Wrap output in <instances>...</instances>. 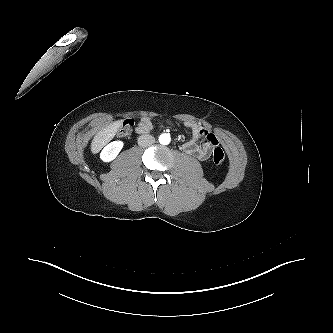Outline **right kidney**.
<instances>
[{
	"mask_svg": "<svg viewBox=\"0 0 333 333\" xmlns=\"http://www.w3.org/2000/svg\"><path fill=\"white\" fill-rule=\"evenodd\" d=\"M122 148H123L122 141H113L109 143L102 149L100 153L101 160L104 162H110L114 160Z\"/></svg>",
	"mask_w": 333,
	"mask_h": 333,
	"instance_id": "obj_1",
	"label": "right kidney"
}]
</instances>
